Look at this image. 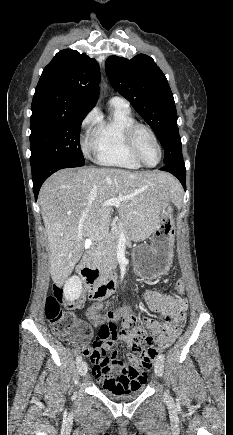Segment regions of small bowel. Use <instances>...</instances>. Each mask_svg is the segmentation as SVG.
<instances>
[{"instance_id":"small-bowel-1","label":"small bowel","mask_w":233,"mask_h":435,"mask_svg":"<svg viewBox=\"0 0 233 435\" xmlns=\"http://www.w3.org/2000/svg\"><path fill=\"white\" fill-rule=\"evenodd\" d=\"M116 286L117 283L113 280L109 286V295L115 291ZM174 289L178 293H182L184 283L181 280L177 281L174 285ZM144 299L152 312L160 314L166 319L165 323H159L150 317L145 316L142 318L143 324L156 330L158 344L164 346L169 339L176 336L183 327L186 320L187 300L176 295L169 296L154 289L146 290L144 292ZM62 304L69 305L70 303L63 301ZM92 308L97 309V306H93ZM130 311V308L119 309L114 312L112 319L101 325L98 334L102 337L105 348H110L113 340L117 337L116 326L119 319ZM120 339L127 343L132 342L131 336L126 333L121 334ZM129 359H135V356L129 355ZM92 372L99 384L116 388V386L112 384V380L114 379L113 375L129 376L132 378L133 382L140 385V383L145 380L149 370L146 366H136L135 372L128 370L123 367L122 359L119 354H111L108 364L93 363Z\"/></svg>"}]
</instances>
